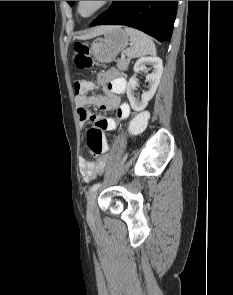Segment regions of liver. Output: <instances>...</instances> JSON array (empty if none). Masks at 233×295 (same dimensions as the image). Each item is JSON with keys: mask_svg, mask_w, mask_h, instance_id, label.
Segmentation results:
<instances>
[{"mask_svg": "<svg viewBox=\"0 0 233 295\" xmlns=\"http://www.w3.org/2000/svg\"><path fill=\"white\" fill-rule=\"evenodd\" d=\"M110 27L109 26H100L95 28L91 33L83 35L78 37V39L86 40L92 37H95L97 35L103 34L106 30H108Z\"/></svg>", "mask_w": 233, "mask_h": 295, "instance_id": "6515ba94", "label": "liver"}]
</instances>
